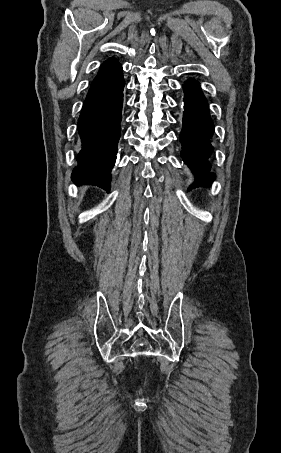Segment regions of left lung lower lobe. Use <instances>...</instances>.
Here are the masks:
<instances>
[{"label": "left lung lower lobe", "mask_w": 281, "mask_h": 453, "mask_svg": "<svg viewBox=\"0 0 281 453\" xmlns=\"http://www.w3.org/2000/svg\"><path fill=\"white\" fill-rule=\"evenodd\" d=\"M183 88L185 96L183 129L180 134L181 156L195 175L194 183L188 188L191 190L195 187L209 186L215 179V175L210 172L211 165L208 161L213 152L210 139L214 125L198 82L188 80Z\"/></svg>", "instance_id": "obj_1"}]
</instances>
